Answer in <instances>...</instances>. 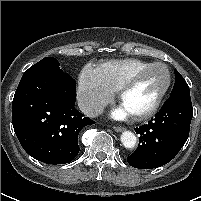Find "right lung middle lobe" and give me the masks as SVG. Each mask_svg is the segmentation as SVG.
<instances>
[{"mask_svg": "<svg viewBox=\"0 0 201 201\" xmlns=\"http://www.w3.org/2000/svg\"><path fill=\"white\" fill-rule=\"evenodd\" d=\"M37 70H43L52 73H63L59 67V62L54 57L43 58L41 61L31 66L25 72L37 71Z\"/></svg>", "mask_w": 201, "mask_h": 201, "instance_id": "obj_1", "label": "right lung middle lobe"}]
</instances>
